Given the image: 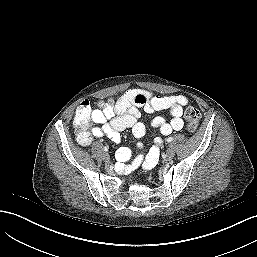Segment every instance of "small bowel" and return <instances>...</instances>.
<instances>
[{
	"label": "small bowel",
	"instance_id": "small-bowel-1",
	"mask_svg": "<svg viewBox=\"0 0 257 257\" xmlns=\"http://www.w3.org/2000/svg\"><path fill=\"white\" fill-rule=\"evenodd\" d=\"M188 103L187 97L183 95L158 96L144 89H130L121 97L116 106L106 107L102 110H91L90 121L98 124L91 131H87L85 127H79L78 111H76L74 122L79 127L77 141L82 145H88L93 138L106 135L113 142L118 143L120 131L125 129H131L135 138H141L146 132L145 125L140 121L141 111L154 113L167 110L170 113V119L157 116L151 122L152 126L159 129L162 135L167 136L183 128L182 114ZM160 144L161 140L156 139L155 146L145 156H135L130 167L126 170H132L139 166L145 169L153 168L158 159ZM139 147L141 146L139 145ZM116 157L118 161L124 163L131 159L132 153L127 148H120L116 152Z\"/></svg>",
	"mask_w": 257,
	"mask_h": 257
}]
</instances>
